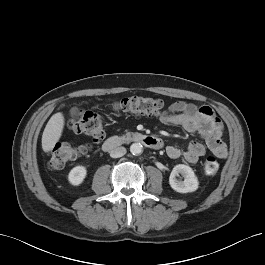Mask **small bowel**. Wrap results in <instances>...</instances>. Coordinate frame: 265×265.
Instances as JSON below:
<instances>
[{"mask_svg":"<svg viewBox=\"0 0 265 265\" xmlns=\"http://www.w3.org/2000/svg\"><path fill=\"white\" fill-rule=\"evenodd\" d=\"M159 121L164 125L180 126L187 132L198 133L205 141V144L192 141L184 151L176 146H168L166 151L170 158L183 157L185 161L193 164L205 155L207 150L220 159L226 157L227 148L221 139L223 126L210 106L176 101L159 117Z\"/></svg>","mask_w":265,"mask_h":265,"instance_id":"c3829d8e","label":"small bowel"}]
</instances>
